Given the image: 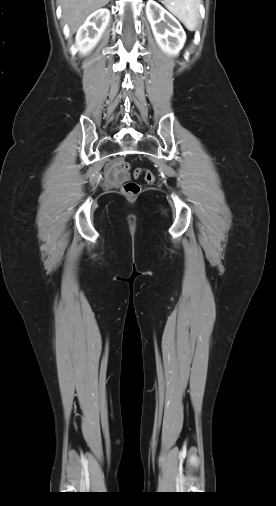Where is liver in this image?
<instances>
[{"label":"liver","instance_id":"6515ba94","mask_svg":"<svg viewBox=\"0 0 276 506\" xmlns=\"http://www.w3.org/2000/svg\"><path fill=\"white\" fill-rule=\"evenodd\" d=\"M110 0H60L64 21L75 33L88 15L107 5Z\"/></svg>","mask_w":276,"mask_h":506}]
</instances>
